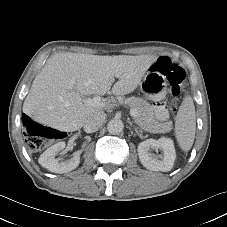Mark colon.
<instances>
[{
	"mask_svg": "<svg viewBox=\"0 0 227 227\" xmlns=\"http://www.w3.org/2000/svg\"><path fill=\"white\" fill-rule=\"evenodd\" d=\"M153 70L164 75L170 83L173 99L172 110L176 109V99L180 94L181 85L185 79L186 72L179 65L173 63L170 58L162 56L156 60ZM28 135V145L33 150H39L44 146L45 140L56 137V131L44 127L34 121L28 120L25 123Z\"/></svg>",
	"mask_w": 227,
	"mask_h": 227,
	"instance_id": "colon-1",
	"label": "colon"
}]
</instances>
